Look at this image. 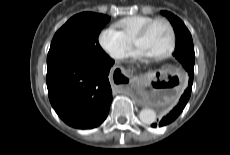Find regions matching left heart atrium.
I'll return each mask as SVG.
<instances>
[{
  "label": "left heart atrium",
  "instance_id": "1",
  "mask_svg": "<svg viewBox=\"0 0 230 155\" xmlns=\"http://www.w3.org/2000/svg\"><path fill=\"white\" fill-rule=\"evenodd\" d=\"M129 57L134 59H142V58L149 57V55L144 49L137 47L133 52L129 54Z\"/></svg>",
  "mask_w": 230,
  "mask_h": 155
}]
</instances>
